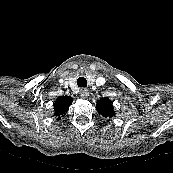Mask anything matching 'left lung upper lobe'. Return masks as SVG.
<instances>
[{
  "label": "left lung upper lobe",
  "instance_id": "1",
  "mask_svg": "<svg viewBox=\"0 0 173 173\" xmlns=\"http://www.w3.org/2000/svg\"><path fill=\"white\" fill-rule=\"evenodd\" d=\"M96 109L98 113L105 118L113 117L115 114L112 102L108 98H101L100 100H98Z\"/></svg>",
  "mask_w": 173,
  "mask_h": 173
}]
</instances>
